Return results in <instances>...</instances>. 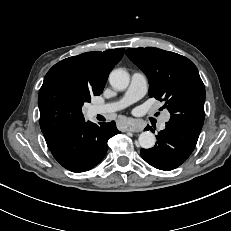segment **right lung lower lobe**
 Segmentation results:
<instances>
[{"label":"right lung lower lobe","mask_w":231,"mask_h":231,"mask_svg":"<svg viewBox=\"0 0 231 231\" xmlns=\"http://www.w3.org/2000/svg\"><path fill=\"white\" fill-rule=\"evenodd\" d=\"M119 133L114 121L100 126L84 122L64 132L48 148L64 168L84 172L103 160L108 139Z\"/></svg>","instance_id":"obj_1"}]
</instances>
